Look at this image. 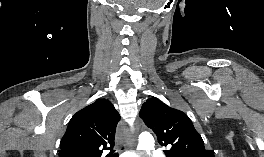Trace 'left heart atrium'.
Returning <instances> with one entry per match:
<instances>
[{"label": "left heart atrium", "instance_id": "39dd6f15", "mask_svg": "<svg viewBox=\"0 0 264 157\" xmlns=\"http://www.w3.org/2000/svg\"><path fill=\"white\" fill-rule=\"evenodd\" d=\"M123 157H131V156H123Z\"/></svg>", "mask_w": 264, "mask_h": 157}]
</instances>
